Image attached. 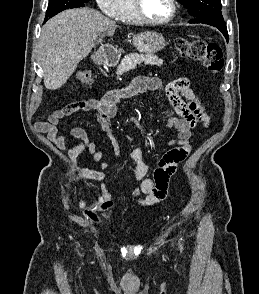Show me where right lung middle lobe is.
Segmentation results:
<instances>
[{"label": "right lung middle lobe", "mask_w": 259, "mask_h": 294, "mask_svg": "<svg viewBox=\"0 0 259 294\" xmlns=\"http://www.w3.org/2000/svg\"><path fill=\"white\" fill-rule=\"evenodd\" d=\"M89 0H50L46 11L45 21L59 12L69 9L84 7Z\"/></svg>", "instance_id": "1"}]
</instances>
